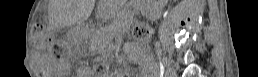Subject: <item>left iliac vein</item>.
Wrapping results in <instances>:
<instances>
[{
	"label": "left iliac vein",
	"mask_w": 258,
	"mask_h": 77,
	"mask_svg": "<svg viewBox=\"0 0 258 77\" xmlns=\"http://www.w3.org/2000/svg\"><path fill=\"white\" fill-rule=\"evenodd\" d=\"M166 76L167 77H175L176 76V70L173 67H167Z\"/></svg>",
	"instance_id": "1"
}]
</instances>
